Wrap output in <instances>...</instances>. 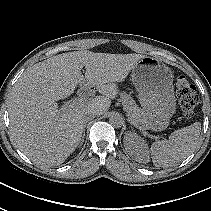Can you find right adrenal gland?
<instances>
[{"label":"right adrenal gland","mask_w":211,"mask_h":211,"mask_svg":"<svg viewBox=\"0 0 211 211\" xmlns=\"http://www.w3.org/2000/svg\"><path fill=\"white\" fill-rule=\"evenodd\" d=\"M85 127H86V125H84V128H83V138L85 136Z\"/></svg>","instance_id":"2a0ac1e0"}]
</instances>
